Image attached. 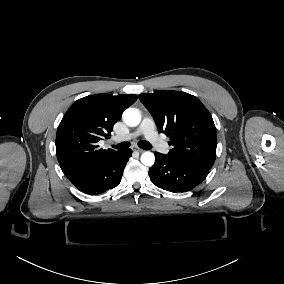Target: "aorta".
<instances>
[{"label": "aorta", "mask_w": 284, "mask_h": 284, "mask_svg": "<svg viewBox=\"0 0 284 284\" xmlns=\"http://www.w3.org/2000/svg\"><path fill=\"white\" fill-rule=\"evenodd\" d=\"M123 122L129 127H136L141 122V113L136 108H128L123 112ZM141 162L145 166H153L155 163V156L152 152L146 151L141 155Z\"/></svg>", "instance_id": "1"}]
</instances>
